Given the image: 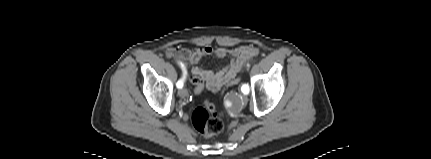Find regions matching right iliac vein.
Wrapping results in <instances>:
<instances>
[{"mask_svg": "<svg viewBox=\"0 0 431 159\" xmlns=\"http://www.w3.org/2000/svg\"><path fill=\"white\" fill-rule=\"evenodd\" d=\"M178 95H179L181 98H185V97L188 95V90H187L186 88H181V89L178 91Z\"/></svg>", "mask_w": 431, "mask_h": 159, "instance_id": "1", "label": "right iliac vein"}]
</instances>
